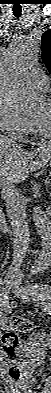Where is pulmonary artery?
<instances>
[{"label": "pulmonary artery", "instance_id": "1", "mask_svg": "<svg viewBox=\"0 0 51 393\" xmlns=\"http://www.w3.org/2000/svg\"><path fill=\"white\" fill-rule=\"evenodd\" d=\"M30 79L36 88L42 91H46L48 89V77L45 76L41 70L38 69L33 72L30 76Z\"/></svg>", "mask_w": 51, "mask_h": 393}]
</instances>
